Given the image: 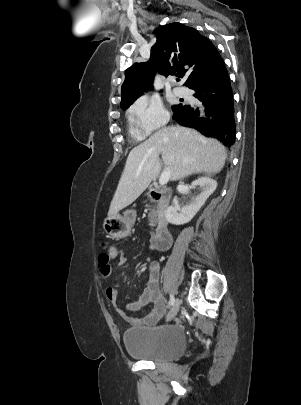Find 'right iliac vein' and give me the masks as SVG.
<instances>
[{"mask_svg":"<svg viewBox=\"0 0 301 405\" xmlns=\"http://www.w3.org/2000/svg\"><path fill=\"white\" fill-rule=\"evenodd\" d=\"M179 306H180V303H179V300L177 299L167 315V321L172 320L177 315Z\"/></svg>","mask_w":301,"mask_h":405,"instance_id":"right-iliac-vein-1","label":"right iliac vein"}]
</instances>
